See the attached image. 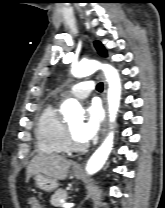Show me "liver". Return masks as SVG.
Wrapping results in <instances>:
<instances>
[{"label": "liver", "mask_w": 165, "mask_h": 208, "mask_svg": "<svg viewBox=\"0 0 165 208\" xmlns=\"http://www.w3.org/2000/svg\"><path fill=\"white\" fill-rule=\"evenodd\" d=\"M72 161L59 155L38 154L27 166V179L34 174H43L55 181L65 180Z\"/></svg>", "instance_id": "6515ba94"}]
</instances>
